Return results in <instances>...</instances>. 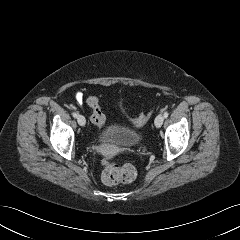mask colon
Returning a JSON list of instances; mask_svg holds the SVG:
<instances>
[{
  "label": "colon",
  "instance_id": "colon-1",
  "mask_svg": "<svg viewBox=\"0 0 240 240\" xmlns=\"http://www.w3.org/2000/svg\"><path fill=\"white\" fill-rule=\"evenodd\" d=\"M87 104L92 109L91 121L98 128H102L105 123V115L103 114L99 100L95 96H89L87 98ZM118 110L124 114L121 100L117 102ZM153 111L148 114H141L137 118L130 119V122L134 125H142L146 123L152 116ZM137 176L136 168L132 164H108L102 172V180L106 185L113 186L119 183H129L133 181Z\"/></svg>",
  "mask_w": 240,
  "mask_h": 240
}]
</instances>
